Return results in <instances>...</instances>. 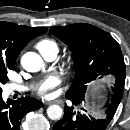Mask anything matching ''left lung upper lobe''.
I'll use <instances>...</instances> for the list:
<instances>
[{
  "mask_svg": "<svg viewBox=\"0 0 130 130\" xmlns=\"http://www.w3.org/2000/svg\"><path fill=\"white\" fill-rule=\"evenodd\" d=\"M50 31L70 48L75 77L66 97L84 99L87 88L108 75L115 77L111 101L120 103L125 83V63L119 44L107 32L90 24L52 27Z\"/></svg>",
  "mask_w": 130,
  "mask_h": 130,
  "instance_id": "left-lung-upper-lobe-1",
  "label": "left lung upper lobe"
}]
</instances>
